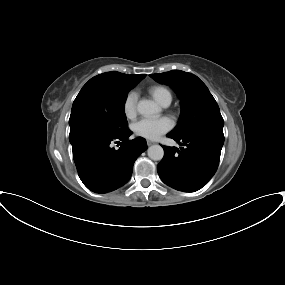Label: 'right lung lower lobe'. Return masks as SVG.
Listing matches in <instances>:
<instances>
[{
  "mask_svg": "<svg viewBox=\"0 0 285 285\" xmlns=\"http://www.w3.org/2000/svg\"><path fill=\"white\" fill-rule=\"evenodd\" d=\"M131 134L130 130L116 136L92 132L70 141L79 177L89 190L111 192L130 179L135 160L147 149L144 138L128 140ZM114 141H122L118 150L112 148Z\"/></svg>",
  "mask_w": 285,
  "mask_h": 285,
  "instance_id": "1",
  "label": "right lung lower lobe"
}]
</instances>
